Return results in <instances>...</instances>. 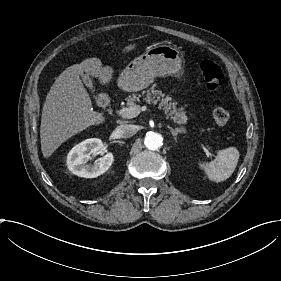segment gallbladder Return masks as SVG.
I'll return each mask as SVG.
<instances>
[{
    "label": "gallbladder",
    "mask_w": 281,
    "mask_h": 281,
    "mask_svg": "<svg viewBox=\"0 0 281 281\" xmlns=\"http://www.w3.org/2000/svg\"><path fill=\"white\" fill-rule=\"evenodd\" d=\"M82 80L86 86H91L92 78L88 74H84Z\"/></svg>",
    "instance_id": "gallbladder-1"
}]
</instances>
